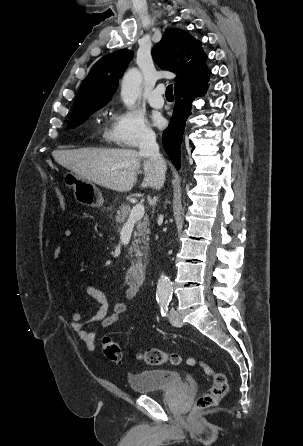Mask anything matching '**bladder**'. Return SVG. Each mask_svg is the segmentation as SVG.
Wrapping results in <instances>:
<instances>
[{
  "label": "bladder",
  "instance_id": "31cf9c89",
  "mask_svg": "<svg viewBox=\"0 0 303 446\" xmlns=\"http://www.w3.org/2000/svg\"><path fill=\"white\" fill-rule=\"evenodd\" d=\"M128 384L134 393L148 394L183 387L182 375L173 370L147 369L128 376Z\"/></svg>",
  "mask_w": 303,
  "mask_h": 446
}]
</instances>
